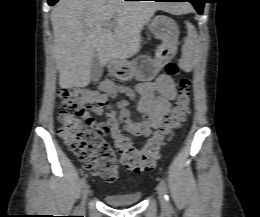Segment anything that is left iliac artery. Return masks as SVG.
I'll use <instances>...</instances> for the list:
<instances>
[{
	"mask_svg": "<svg viewBox=\"0 0 260 217\" xmlns=\"http://www.w3.org/2000/svg\"><path fill=\"white\" fill-rule=\"evenodd\" d=\"M161 185H162V187L164 189V192H165V196L164 197H165V200L167 202V208L169 210H171L172 206H171L170 199H169L168 192H167V184H166V182L163 179L161 180Z\"/></svg>",
	"mask_w": 260,
	"mask_h": 217,
	"instance_id": "1",
	"label": "left iliac artery"
}]
</instances>
